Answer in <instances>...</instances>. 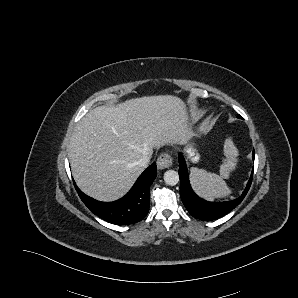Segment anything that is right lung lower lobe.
<instances>
[{"label":"right lung lower lobe","mask_w":298,"mask_h":298,"mask_svg":"<svg viewBox=\"0 0 298 298\" xmlns=\"http://www.w3.org/2000/svg\"><path fill=\"white\" fill-rule=\"evenodd\" d=\"M157 175L156 163H152L137 179L131 190L114 202H100L86 196L75 185L79 197L89 210L101 219L117 224L129 225L141 221L149 211L150 185Z\"/></svg>","instance_id":"98d812e1"}]
</instances>
